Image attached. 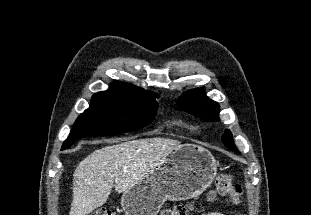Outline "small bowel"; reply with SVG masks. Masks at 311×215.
Here are the masks:
<instances>
[{
  "label": "small bowel",
  "mask_w": 311,
  "mask_h": 215,
  "mask_svg": "<svg viewBox=\"0 0 311 215\" xmlns=\"http://www.w3.org/2000/svg\"><path fill=\"white\" fill-rule=\"evenodd\" d=\"M202 215H224V214H221V213H218V212H210V213H204Z\"/></svg>",
  "instance_id": "c3829d8e"
}]
</instances>
